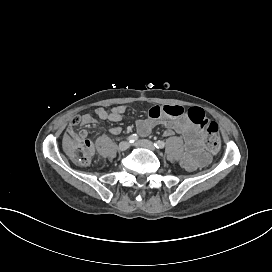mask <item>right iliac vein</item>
<instances>
[{"mask_svg":"<svg viewBox=\"0 0 272 272\" xmlns=\"http://www.w3.org/2000/svg\"><path fill=\"white\" fill-rule=\"evenodd\" d=\"M129 147H130V144L126 141H123L119 144L118 148L120 151H126L127 149H129Z\"/></svg>","mask_w":272,"mask_h":272,"instance_id":"1","label":"right iliac vein"}]
</instances>
